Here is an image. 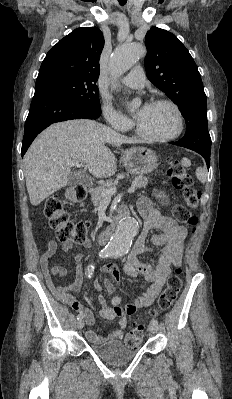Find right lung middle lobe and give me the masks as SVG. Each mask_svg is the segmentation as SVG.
Wrapping results in <instances>:
<instances>
[{
	"label": "right lung middle lobe",
	"instance_id": "obj_1",
	"mask_svg": "<svg viewBox=\"0 0 232 399\" xmlns=\"http://www.w3.org/2000/svg\"><path fill=\"white\" fill-rule=\"evenodd\" d=\"M94 83L67 77H56L36 82L35 88L57 90L92 110L101 112L98 87Z\"/></svg>",
	"mask_w": 232,
	"mask_h": 399
}]
</instances>
